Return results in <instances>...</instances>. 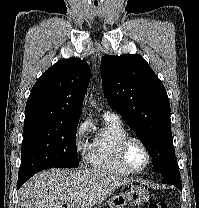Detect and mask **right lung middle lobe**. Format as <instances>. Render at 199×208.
<instances>
[{"instance_id":"right-lung-middle-lobe-1","label":"right lung middle lobe","mask_w":199,"mask_h":208,"mask_svg":"<svg viewBox=\"0 0 199 208\" xmlns=\"http://www.w3.org/2000/svg\"><path fill=\"white\" fill-rule=\"evenodd\" d=\"M78 121L25 117L19 177L30 178L35 173L52 167H77Z\"/></svg>"}]
</instances>
